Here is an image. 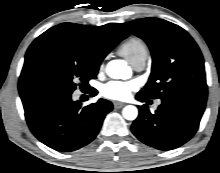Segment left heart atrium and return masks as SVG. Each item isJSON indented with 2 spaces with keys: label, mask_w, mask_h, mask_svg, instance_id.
Returning <instances> with one entry per match:
<instances>
[{
  "label": "left heart atrium",
  "mask_w": 220,
  "mask_h": 173,
  "mask_svg": "<svg viewBox=\"0 0 220 173\" xmlns=\"http://www.w3.org/2000/svg\"><path fill=\"white\" fill-rule=\"evenodd\" d=\"M136 87L131 81H110L102 86L101 94L112 100H126Z\"/></svg>",
  "instance_id": "obj_1"
}]
</instances>
